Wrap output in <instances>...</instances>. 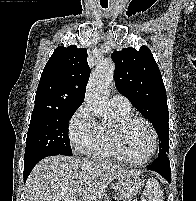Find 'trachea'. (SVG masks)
Returning a JSON list of instances; mask_svg holds the SVG:
<instances>
[{
  "mask_svg": "<svg viewBox=\"0 0 196 201\" xmlns=\"http://www.w3.org/2000/svg\"><path fill=\"white\" fill-rule=\"evenodd\" d=\"M103 8H107V6H102Z\"/></svg>",
  "mask_w": 196,
  "mask_h": 201,
  "instance_id": "trachea-1",
  "label": "trachea"
}]
</instances>
